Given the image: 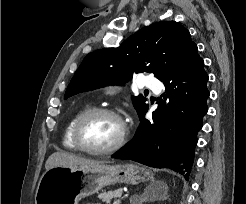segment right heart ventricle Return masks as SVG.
Masks as SVG:
<instances>
[{
  "label": "right heart ventricle",
  "instance_id": "obj_1",
  "mask_svg": "<svg viewBox=\"0 0 246 204\" xmlns=\"http://www.w3.org/2000/svg\"><path fill=\"white\" fill-rule=\"evenodd\" d=\"M88 109H90L89 104H83L80 106L70 117L63 134V145L65 148L70 150H76L77 147L73 141V128L77 119Z\"/></svg>",
  "mask_w": 246,
  "mask_h": 204
}]
</instances>
